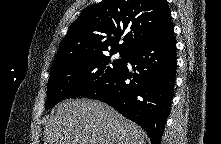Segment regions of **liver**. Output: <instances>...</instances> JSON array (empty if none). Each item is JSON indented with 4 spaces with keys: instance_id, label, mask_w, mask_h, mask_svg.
<instances>
[{
    "instance_id": "6515ba94",
    "label": "liver",
    "mask_w": 221,
    "mask_h": 144,
    "mask_svg": "<svg viewBox=\"0 0 221 144\" xmlns=\"http://www.w3.org/2000/svg\"><path fill=\"white\" fill-rule=\"evenodd\" d=\"M44 133V144H146L141 127L109 105L89 99L59 103Z\"/></svg>"
}]
</instances>
